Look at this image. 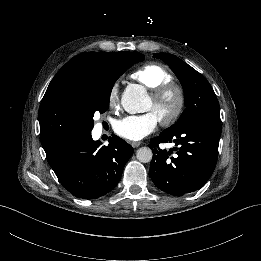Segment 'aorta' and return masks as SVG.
<instances>
[{"label": "aorta", "instance_id": "obj_1", "mask_svg": "<svg viewBox=\"0 0 261 261\" xmlns=\"http://www.w3.org/2000/svg\"><path fill=\"white\" fill-rule=\"evenodd\" d=\"M145 89L132 87L126 89L122 95V104L129 113L146 112L149 108L150 98L145 94ZM136 157L141 163H148L152 160L153 153L149 147H141L137 150Z\"/></svg>", "mask_w": 261, "mask_h": 261}]
</instances>
